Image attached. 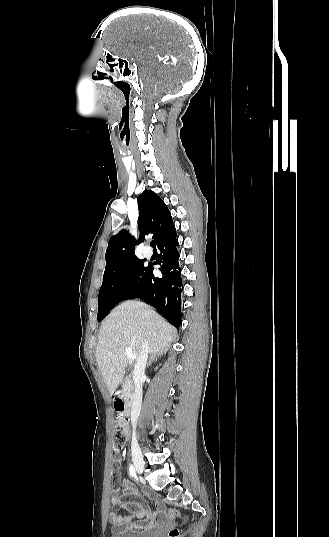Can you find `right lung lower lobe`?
Segmentation results:
<instances>
[{
	"label": "right lung lower lobe",
	"mask_w": 329,
	"mask_h": 537,
	"mask_svg": "<svg viewBox=\"0 0 329 537\" xmlns=\"http://www.w3.org/2000/svg\"><path fill=\"white\" fill-rule=\"evenodd\" d=\"M176 229L159 243L160 255L154 264L161 267V277L153 275V264L145 267L141 281L127 299L141 298L158 309L170 323L178 327L181 322V295L183 284Z\"/></svg>",
	"instance_id": "obj_1"
}]
</instances>
